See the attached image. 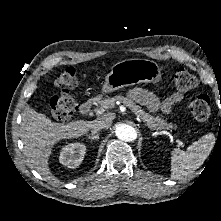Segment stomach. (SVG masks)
Returning <instances> with one entry per match:
<instances>
[{"label":"stomach","mask_w":221,"mask_h":221,"mask_svg":"<svg viewBox=\"0 0 221 221\" xmlns=\"http://www.w3.org/2000/svg\"><path fill=\"white\" fill-rule=\"evenodd\" d=\"M160 79L161 70L156 62L141 58L126 59L113 65L99 96L102 97L126 86L156 83Z\"/></svg>","instance_id":"0dacf381"}]
</instances>
